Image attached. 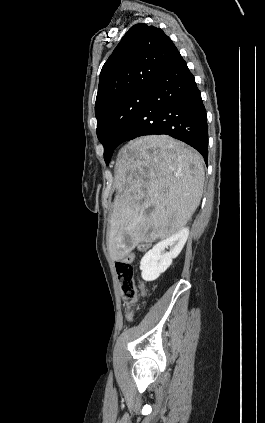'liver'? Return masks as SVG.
<instances>
[{"instance_id": "liver-1", "label": "liver", "mask_w": 265, "mask_h": 423, "mask_svg": "<svg viewBox=\"0 0 265 423\" xmlns=\"http://www.w3.org/2000/svg\"><path fill=\"white\" fill-rule=\"evenodd\" d=\"M203 164L196 150L168 135L143 136L121 148L107 242L113 261L185 227L200 204Z\"/></svg>"}]
</instances>
